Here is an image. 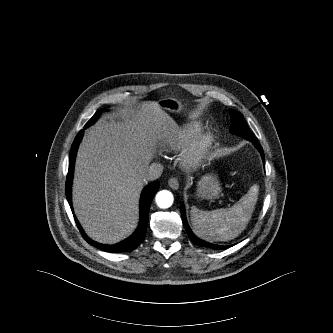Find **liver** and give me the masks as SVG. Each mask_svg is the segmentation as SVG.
<instances>
[{
	"mask_svg": "<svg viewBox=\"0 0 333 333\" xmlns=\"http://www.w3.org/2000/svg\"><path fill=\"white\" fill-rule=\"evenodd\" d=\"M174 120L157 102L102 120L85 132L73 183L75 214L89 237L117 243L137 226L139 197L157 139L170 138Z\"/></svg>",
	"mask_w": 333,
	"mask_h": 333,
	"instance_id": "1",
	"label": "liver"
}]
</instances>
